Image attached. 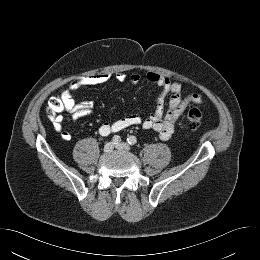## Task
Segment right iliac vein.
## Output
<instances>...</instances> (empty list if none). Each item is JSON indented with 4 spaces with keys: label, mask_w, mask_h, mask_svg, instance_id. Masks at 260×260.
I'll list each match as a JSON object with an SVG mask.
<instances>
[{
    "label": "right iliac vein",
    "mask_w": 260,
    "mask_h": 260,
    "mask_svg": "<svg viewBox=\"0 0 260 260\" xmlns=\"http://www.w3.org/2000/svg\"><path fill=\"white\" fill-rule=\"evenodd\" d=\"M114 149V143L108 142L104 145V151L105 152H111Z\"/></svg>",
    "instance_id": "1"
}]
</instances>
